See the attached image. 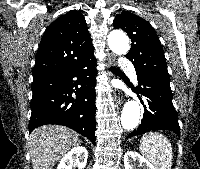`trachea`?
Listing matches in <instances>:
<instances>
[{
    "mask_svg": "<svg viewBox=\"0 0 200 169\" xmlns=\"http://www.w3.org/2000/svg\"><path fill=\"white\" fill-rule=\"evenodd\" d=\"M110 70L112 71V72H115V71H120L118 68H116V67H110Z\"/></svg>",
    "mask_w": 200,
    "mask_h": 169,
    "instance_id": "trachea-1",
    "label": "trachea"
}]
</instances>
